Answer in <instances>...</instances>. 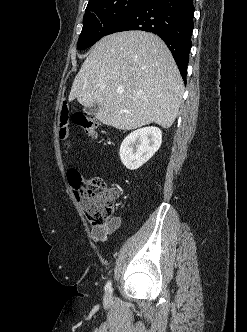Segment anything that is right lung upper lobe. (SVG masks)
Returning a JSON list of instances; mask_svg holds the SVG:
<instances>
[{
    "label": "right lung upper lobe",
    "mask_w": 247,
    "mask_h": 332,
    "mask_svg": "<svg viewBox=\"0 0 247 332\" xmlns=\"http://www.w3.org/2000/svg\"><path fill=\"white\" fill-rule=\"evenodd\" d=\"M97 1H99V0H89V3H88V5H87V6H89V5L93 4L94 2H97Z\"/></svg>",
    "instance_id": "obj_1"
}]
</instances>
